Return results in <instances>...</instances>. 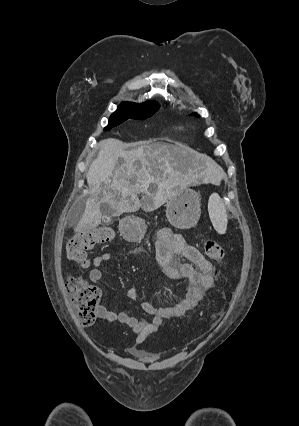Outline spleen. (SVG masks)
I'll return each mask as SVG.
<instances>
[{"label": "spleen", "instance_id": "obj_1", "mask_svg": "<svg viewBox=\"0 0 299 426\" xmlns=\"http://www.w3.org/2000/svg\"><path fill=\"white\" fill-rule=\"evenodd\" d=\"M208 213L213 227L219 234H224L227 229V212L225 205L217 193L209 197Z\"/></svg>", "mask_w": 299, "mask_h": 426}]
</instances>
